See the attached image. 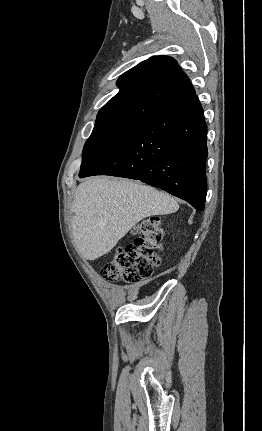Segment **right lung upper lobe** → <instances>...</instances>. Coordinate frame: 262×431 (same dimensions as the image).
Listing matches in <instances>:
<instances>
[{
    "mask_svg": "<svg viewBox=\"0 0 262 431\" xmlns=\"http://www.w3.org/2000/svg\"><path fill=\"white\" fill-rule=\"evenodd\" d=\"M120 91L99 111L95 125L138 122L195 96L173 58L153 56L121 75Z\"/></svg>",
    "mask_w": 262,
    "mask_h": 431,
    "instance_id": "obj_1",
    "label": "right lung upper lobe"
}]
</instances>
